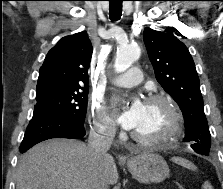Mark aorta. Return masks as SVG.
Instances as JSON below:
<instances>
[{
  "instance_id": "762f6f07",
  "label": "aorta",
  "mask_w": 223,
  "mask_h": 189,
  "mask_svg": "<svg viewBox=\"0 0 223 189\" xmlns=\"http://www.w3.org/2000/svg\"><path fill=\"white\" fill-rule=\"evenodd\" d=\"M141 50L137 45L121 47L116 54L114 68L117 73H123L140 57Z\"/></svg>"
}]
</instances>
